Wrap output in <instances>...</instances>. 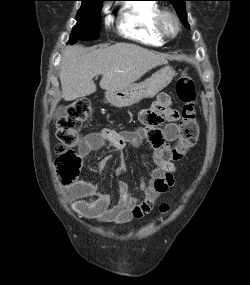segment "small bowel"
<instances>
[{"mask_svg":"<svg viewBox=\"0 0 250 285\" xmlns=\"http://www.w3.org/2000/svg\"><path fill=\"white\" fill-rule=\"evenodd\" d=\"M168 104V97L160 95L151 109L142 111L140 118L143 126L134 130L119 132L105 128L87 134L79 145L80 154L86 157L101 149L105 143L111 144L120 152L127 145L139 147L143 141H147L150 147L156 150L166 146L168 142L176 140L180 135V127L176 123L177 113L174 111H168L165 114L168 123L164 129L159 127L164 120L162 110H165ZM179 158L181 157L166 160L158 155L154 156V167L141 181L143 193L141 199L131 195L128 186L124 182L118 184L119 199L113 205L110 196L99 191L98 184L85 180L65 185L64 193L72 200L75 212L84 218L110 223H124L133 218L139 219L148 215L152 211L157 198L173 186L174 174L176 173L174 161ZM108 160L109 157H105L99 162V172L105 168ZM125 170V157L121 155L116 172L122 173ZM87 198L93 199L87 200Z\"/></svg>","mask_w":250,"mask_h":285,"instance_id":"small-bowel-1","label":"small bowel"}]
</instances>
